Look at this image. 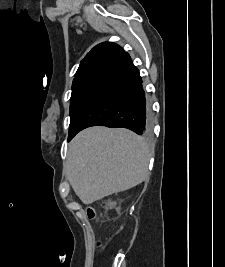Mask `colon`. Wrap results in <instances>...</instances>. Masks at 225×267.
I'll return each instance as SVG.
<instances>
[{"instance_id":"5ec220e1","label":"colon","mask_w":225,"mask_h":267,"mask_svg":"<svg viewBox=\"0 0 225 267\" xmlns=\"http://www.w3.org/2000/svg\"><path fill=\"white\" fill-rule=\"evenodd\" d=\"M87 214H88V217H89V218H93L94 215H95V211H94V209H93V208H88V209H87ZM98 245L101 246L102 243L99 242Z\"/></svg>"}]
</instances>
